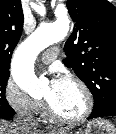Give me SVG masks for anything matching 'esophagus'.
<instances>
[{
    "label": "esophagus",
    "instance_id": "34e87169",
    "mask_svg": "<svg viewBox=\"0 0 116 134\" xmlns=\"http://www.w3.org/2000/svg\"><path fill=\"white\" fill-rule=\"evenodd\" d=\"M46 131L48 133H54V132H56V129L53 126L49 125L46 127Z\"/></svg>",
    "mask_w": 116,
    "mask_h": 134
}]
</instances>
